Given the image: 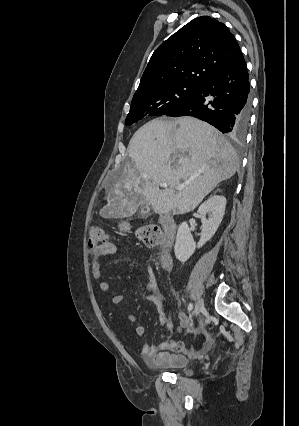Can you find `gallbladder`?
Wrapping results in <instances>:
<instances>
[{
  "label": "gallbladder",
  "instance_id": "gallbladder-1",
  "mask_svg": "<svg viewBox=\"0 0 299 426\" xmlns=\"http://www.w3.org/2000/svg\"><path fill=\"white\" fill-rule=\"evenodd\" d=\"M149 211H150L149 207H143V208H141V214L143 216L147 215L149 213Z\"/></svg>",
  "mask_w": 299,
  "mask_h": 426
}]
</instances>
